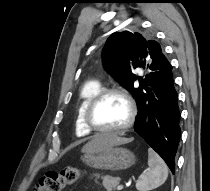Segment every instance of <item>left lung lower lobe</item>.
Instances as JSON below:
<instances>
[{
    "instance_id": "obj_1",
    "label": "left lung lower lobe",
    "mask_w": 210,
    "mask_h": 191,
    "mask_svg": "<svg viewBox=\"0 0 210 191\" xmlns=\"http://www.w3.org/2000/svg\"><path fill=\"white\" fill-rule=\"evenodd\" d=\"M137 106L135 132L164 159L174 174L175 155L181 135L180 112L172 66L167 59L149 77Z\"/></svg>"
}]
</instances>
